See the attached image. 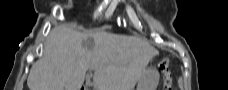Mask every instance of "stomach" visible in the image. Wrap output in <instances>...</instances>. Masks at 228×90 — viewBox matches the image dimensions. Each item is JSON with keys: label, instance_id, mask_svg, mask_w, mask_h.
<instances>
[{"label": "stomach", "instance_id": "0dacf381", "mask_svg": "<svg viewBox=\"0 0 228 90\" xmlns=\"http://www.w3.org/2000/svg\"><path fill=\"white\" fill-rule=\"evenodd\" d=\"M159 80V73L156 68L150 67L145 70L139 80L136 90H154Z\"/></svg>", "mask_w": 228, "mask_h": 90}]
</instances>
